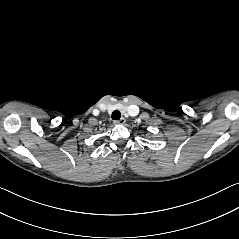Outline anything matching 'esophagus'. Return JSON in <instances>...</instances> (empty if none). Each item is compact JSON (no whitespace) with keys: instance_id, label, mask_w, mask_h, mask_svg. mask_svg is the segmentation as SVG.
Wrapping results in <instances>:
<instances>
[{"instance_id":"obj_1","label":"esophagus","mask_w":239,"mask_h":239,"mask_svg":"<svg viewBox=\"0 0 239 239\" xmlns=\"http://www.w3.org/2000/svg\"><path fill=\"white\" fill-rule=\"evenodd\" d=\"M125 122H126L125 118H121L120 120L114 121L115 124H121V125L125 124Z\"/></svg>"}]
</instances>
